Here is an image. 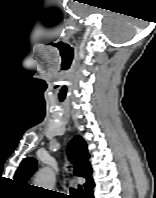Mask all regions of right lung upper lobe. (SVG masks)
<instances>
[{"mask_svg":"<svg viewBox=\"0 0 156 198\" xmlns=\"http://www.w3.org/2000/svg\"><path fill=\"white\" fill-rule=\"evenodd\" d=\"M68 154L75 164V174L86 178V187L84 194H88L94 187V182L91 178L92 169L88 162L89 153L87 144L80 136H75L68 145ZM36 166L34 158L24 159L17 169L14 180L20 183H25L33 174Z\"/></svg>","mask_w":156,"mask_h":198,"instance_id":"1","label":"right lung upper lobe"}]
</instances>
